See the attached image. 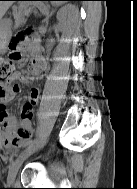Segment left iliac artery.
<instances>
[{
	"label": "left iliac artery",
	"instance_id": "1",
	"mask_svg": "<svg viewBox=\"0 0 137 189\" xmlns=\"http://www.w3.org/2000/svg\"><path fill=\"white\" fill-rule=\"evenodd\" d=\"M34 144H35V140L29 141L28 144H27L28 145L27 149L32 148L34 146Z\"/></svg>",
	"mask_w": 137,
	"mask_h": 189
}]
</instances>
